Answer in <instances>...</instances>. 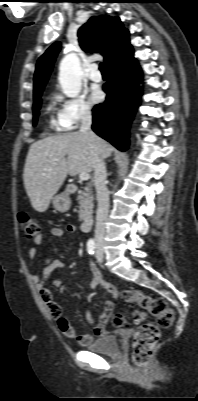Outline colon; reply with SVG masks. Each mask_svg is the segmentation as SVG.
<instances>
[{"instance_id": "1", "label": "colon", "mask_w": 198, "mask_h": 401, "mask_svg": "<svg viewBox=\"0 0 198 401\" xmlns=\"http://www.w3.org/2000/svg\"><path fill=\"white\" fill-rule=\"evenodd\" d=\"M18 222L24 235L34 238L39 233V226L34 218L27 213L18 215ZM113 289V287H111ZM122 299L127 303H136L141 310L133 313L136 322L145 320L149 313L157 320V325L152 323L140 324L133 336L131 347V360L136 367L144 366L152 356L153 350L160 337L159 327H169L175 318L174 311L161 299L153 298L137 290H125L122 292ZM56 312L59 314L60 309ZM127 315L118 313L113 318L116 328H122L127 324Z\"/></svg>"}]
</instances>
